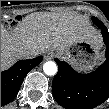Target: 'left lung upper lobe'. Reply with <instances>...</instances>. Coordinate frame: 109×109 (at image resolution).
I'll use <instances>...</instances> for the list:
<instances>
[{
  "instance_id": "1",
  "label": "left lung upper lobe",
  "mask_w": 109,
  "mask_h": 109,
  "mask_svg": "<svg viewBox=\"0 0 109 109\" xmlns=\"http://www.w3.org/2000/svg\"><path fill=\"white\" fill-rule=\"evenodd\" d=\"M93 22L96 24H103L99 19H97L96 17H93Z\"/></svg>"
}]
</instances>
